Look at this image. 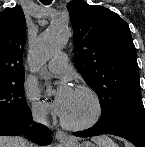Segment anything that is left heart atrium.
Instances as JSON below:
<instances>
[{
  "label": "left heart atrium",
  "instance_id": "39dd6f15",
  "mask_svg": "<svg viewBox=\"0 0 145 147\" xmlns=\"http://www.w3.org/2000/svg\"><path fill=\"white\" fill-rule=\"evenodd\" d=\"M74 93L75 90L67 81H63L57 87L52 107L58 115L62 117L65 115L73 99Z\"/></svg>",
  "mask_w": 145,
  "mask_h": 147
}]
</instances>
